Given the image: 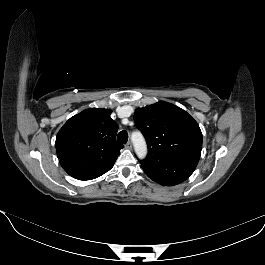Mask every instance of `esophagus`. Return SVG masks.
Here are the masks:
<instances>
[{"instance_id":"1","label":"esophagus","mask_w":265,"mask_h":265,"mask_svg":"<svg viewBox=\"0 0 265 265\" xmlns=\"http://www.w3.org/2000/svg\"><path fill=\"white\" fill-rule=\"evenodd\" d=\"M126 148H127V149H132V144H131L130 141L127 142V144H126Z\"/></svg>"}]
</instances>
